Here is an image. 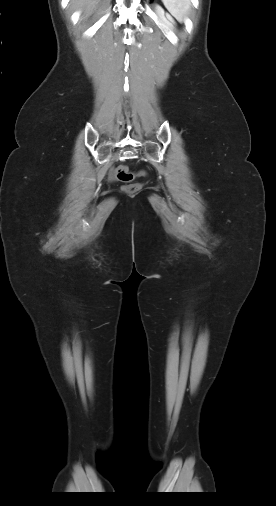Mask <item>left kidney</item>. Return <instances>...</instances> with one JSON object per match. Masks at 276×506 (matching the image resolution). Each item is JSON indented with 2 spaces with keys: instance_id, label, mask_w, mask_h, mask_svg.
Listing matches in <instances>:
<instances>
[{
  "instance_id": "5707ae66",
  "label": "left kidney",
  "mask_w": 276,
  "mask_h": 506,
  "mask_svg": "<svg viewBox=\"0 0 276 506\" xmlns=\"http://www.w3.org/2000/svg\"><path fill=\"white\" fill-rule=\"evenodd\" d=\"M156 13L158 14V16L160 17V19L162 20L163 24L165 25V27L167 29H172L173 25H172V19L169 18V17H165V13L163 11V9L159 6L156 7Z\"/></svg>"
}]
</instances>
